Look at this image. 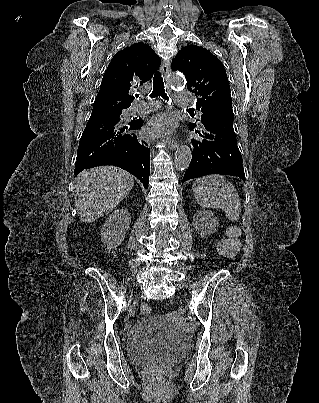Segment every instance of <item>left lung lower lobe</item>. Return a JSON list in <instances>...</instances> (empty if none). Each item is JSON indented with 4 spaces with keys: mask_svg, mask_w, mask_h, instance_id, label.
<instances>
[{
    "mask_svg": "<svg viewBox=\"0 0 319 403\" xmlns=\"http://www.w3.org/2000/svg\"><path fill=\"white\" fill-rule=\"evenodd\" d=\"M233 114H217L190 129L200 136L193 140L191 163L183 182L207 174L233 175L245 181L242 156L233 129Z\"/></svg>",
    "mask_w": 319,
    "mask_h": 403,
    "instance_id": "0a47b994",
    "label": "left lung lower lobe"
}]
</instances>
